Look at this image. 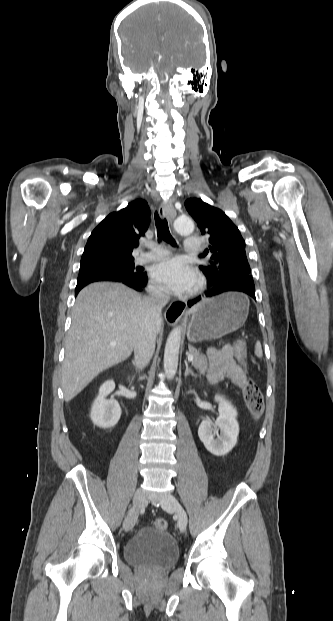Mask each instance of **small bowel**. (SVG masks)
<instances>
[{"mask_svg": "<svg viewBox=\"0 0 333 621\" xmlns=\"http://www.w3.org/2000/svg\"><path fill=\"white\" fill-rule=\"evenodd\" d=\"M208 359L209 371L207 379L211 384H217L224 379H230L239 388H244L245 374L233 359L232 350L229 347H225L222 350H209Z\"/></svg>", "mask_w": 333, "mask_h": 621, "instance_id": "1", "label": "small bowel"}]
</instances>
